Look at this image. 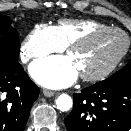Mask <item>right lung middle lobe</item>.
Listing matches in <instances>:
<instances>
[{"mask_svg":"<svg viewBox=\"0 0 131 131\" xmlns=\"http://www.w3.org/2000/svg\"><path fill=\"white\" fill-rule=\"evenodd\" d=\"M11 23L9 17L0 15V67H9L18 63L19 36Z\"/></svg>","mask_w":131,"mask_h":131,"instance_id":"obj_1","label":"right lung middle lobe"}]
</instances>
